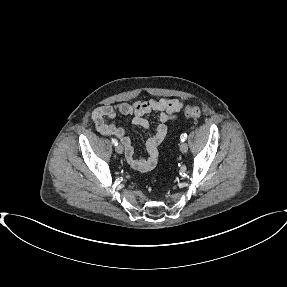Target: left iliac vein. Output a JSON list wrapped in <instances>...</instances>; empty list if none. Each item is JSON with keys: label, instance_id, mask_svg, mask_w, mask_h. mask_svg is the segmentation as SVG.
Masks as SVG:
<instances>
[{"label": "left iliac vein", "instance_id": "left-iliac-vein-1", "mask_svg": "<svg viewBox=\"0 0 287 287\" xmlns=\"http://www.w3.org/2000/svg\"><path fill=\"white\" fill-rule=\"evenodd\" d=\"M187 150H188V145H187L186 143H181V145H180V151H181L182 153H186Z\"/></svg>", "mask_w": 287, "mask_h": 287}]
</instances>
